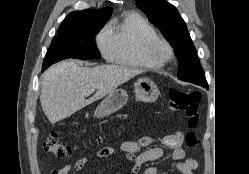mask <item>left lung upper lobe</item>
<instances>
[{"mask_svg": "<svg viewBox=\"0 0 249 174\" xmlns=\"http://www.w3.org/2000/svg\"><path fill=\"white\" fill-rule=\"evenodd\" d=\"M136 5L175 49L179 61L178 79L187 82L206 79L186 24L178 10L165 0H137Z\"/></svg>", "mask_w": 249, "mask_h": 174, "instance_id": "obj_1", "label": "left lung upper lobe"}]
</instances>
